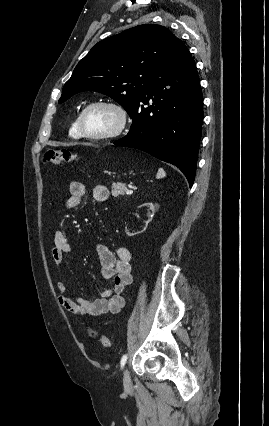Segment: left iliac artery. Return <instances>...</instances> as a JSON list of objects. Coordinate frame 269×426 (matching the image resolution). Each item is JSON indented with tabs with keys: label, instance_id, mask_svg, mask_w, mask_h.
I'll list each match as a JSON object with an SVG mask.
<instances>
[{
	"label": "left iliac artery",
	"instance_id": "obj_1",
	"mask_svg": "<svg viewBox=\"0 0 269 426\" xmlns=\"http://www.w3.org/2000/svg\"><path fill=\"white\" fill-rule=\"evenodd\" d=\"M126 361H127V355L125 354V355H123V356H122V358H121V362H120L121 369L124 367V365H125Z\"/></svg>",
	"mask_w": 269,
	"mask_h": 426
}]
</instances>
